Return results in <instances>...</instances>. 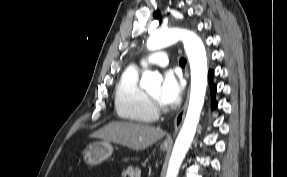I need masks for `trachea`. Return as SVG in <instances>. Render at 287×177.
Segmentation results:
<instances>
[{"instance_id": "1", "label": "trachea", "mask_w": 287, "mask_h": 177, "mask_svg": "<svg viewBox=\"0 0 287 177\" xmlns=\"http://www.w3.org/2000/svg\"><path fill=\"white\" fill-rule=\"evenodd\" d=\"M186 64V59L181 58L180 59V65L184 66Z\"/></svg>"}]
</instances>
